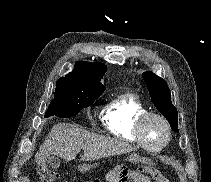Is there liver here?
<instances>
[{
	"instance_id": "liver-1",
	"label": "liver",
	"mask_w": 211,
	"mask_h": 182,
	"mask_svg": "<svg viewBox=\"0 0 211 182\" xmlns=\"http://www.w3.org/2000/svg\"><path fill=\"white\" fill-rule=\"evenodd\" d=\"M81 149L84 152L83 161H94L135 150L123 141L90 133L77 125L58 123L52 127L46 140L40 146L35 160L39 163L50 155H56L71 161Z\"/></svg>"
}]
</instances>
